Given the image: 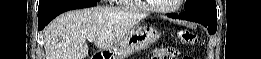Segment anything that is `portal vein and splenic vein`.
Listing matches in <instances>:
<instances>
[{
    "label": "portal vein and splenic vein",
    "instance_id": "1",
    "mask_svg": "<svg viewBox=\"0 0 261 59\" xmlns=\"http://www.w3.org/2000/svg\"><path fill=\"white\" fill-rule=\"evenodd\" d=\"M87 40H88V41H94V40H95V37H94V36H89V37L87 38Z\"/></svg>",
    "mask_w": 261,
    "mask_h": 59
}]
</instances>
